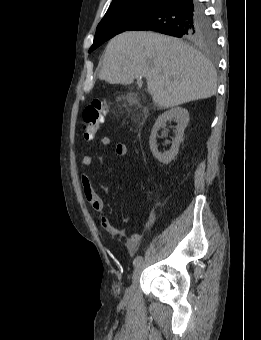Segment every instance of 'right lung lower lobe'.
Returning a JSON list of instances; mask_svg holds the SVG:
<instances>
[{
  "label": "right lung lower lobe",
  "instance_id": "obj_1",
  "mask_svg": "<svg viewBox=\"0 0 261 340\" xmlns=\"http://www.w3.org/2000/svg\"><path fill=\"white\" fill-rule=\"evenodd\" d=\"M203 15L199 0H161L155 9L127 31L151 30L181 38L186 28Z\"/></svg>",
  "mask_w": 261,
  "mask_h": 340
}]
</instances>
